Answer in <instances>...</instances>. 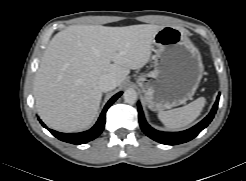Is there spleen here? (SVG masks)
I'll return each mask as SVG.
<instances>
[{
	"instance_id": "spleen-1",
	"label": "spleen",
	"mask_w": 246,
	"mask_h": 181,
	"mask_svg": "<svg viewBox=\"0 0 246 181\" xmlns=\"http://www.w3.org/2000/svg\"><path fill=\"white\" fill-rule=\"evenodd\" d=\"M206 99L200 97L186 106L172 109L169 111H160L158 118L170 129H180L192 123L202 112Z\"/></svg>"
}]
</instances>
